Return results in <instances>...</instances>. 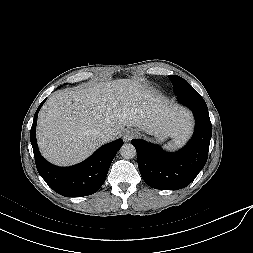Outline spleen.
<instances>
[{"label": "spleen", "instance_id": "obj_1", "mask_svg": "<svg viewBox=\"0 0 253 253\" xmlns=\"http://www.w3.org/2000/svg\"><path fill=\"white\" fill-rule=\"evenodd\" d=\"M190 134H191V124L189 123L181 133L175 136L171 142H168L166 145H164V147L168 150L179 148L184 144L187 138H189Z\"/></svg>", "mask_w": 253, "mask_h": 253}]
</instances>
